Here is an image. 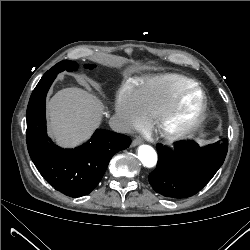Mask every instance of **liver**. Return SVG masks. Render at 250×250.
Masks as SVG:
<instances>
[{
    "label": "liver",
    "mask_w": 250,
    "mask_h": 250,
    "mask_svg": "<svg viewBox=\"0 0 250 250\" xmlns=\"http://www.w3.org/2000/svg\"><path fill=\"white\" fill-rule=\"evenodd\" d=\"M49 132L65 147L87 140L100 124L104 106L93 94L80 88L58 91L48 102Z\"/></svg>",
    "instance_id": "6515ba94"
}]
</instances>
